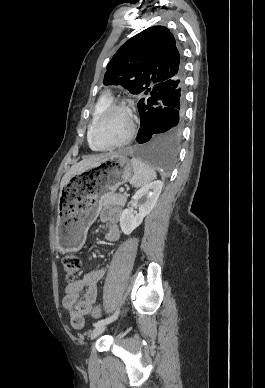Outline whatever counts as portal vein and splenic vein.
Returning a JSON list of instances; mask_svg holds the SVG:
<instances>
[{
	"label": "portal vein and splenic vein",
	"mask_w": 265,
	"mask_h": 388,
	"mask_svg": "<svg viewBox=\"0 0 265 388\" xmlns=\"http://www.w3.org/2000/svg\"><path fill=\"white\" fill-rule=\"evenodd\" d=\"M120 192H124V188H120Z\"/></svg>",
	"instance_id": "portal-vein-and-splenic-vein-1"
}]
</instances>
